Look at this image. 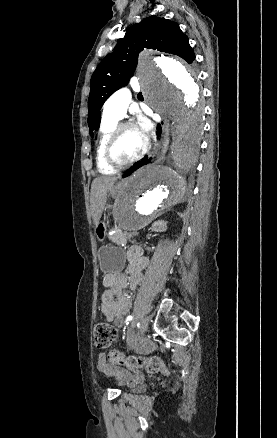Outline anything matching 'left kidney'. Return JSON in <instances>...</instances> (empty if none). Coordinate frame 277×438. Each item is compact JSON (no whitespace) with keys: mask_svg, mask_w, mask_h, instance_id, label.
<instances>
[{"mask_svg":"<svg viewBox=\"0 0 277 438\" xmlns=\"http://www.w3.org/2000/svg\"><path fill=\"white\" fill-rule=\"evenodd\" d=\"M166 230L167 222H164V220H158V222L152 224V232H166Z\"/></svg>","mask_w":277,"mask_h":438,"instance_id":"left-kidney-1","label":"left kidney"}]
</instances>
